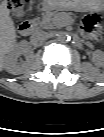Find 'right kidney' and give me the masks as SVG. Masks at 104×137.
Masks as SVG:
<instances>
[{"label": "right kidney", "mask_w": 104, "mask_h": 137, "mask_svg": "<svg viewBox=\"0 0 104 137\" xmlns=\"http://www.w3.org/2000/svg\"><path fill=\"white\" fill-rule=\"evenodd\" d=\"M32 52L30 46L26 41H21L14 46V48L5 56L4 68L11 74L18 75L24 70L23 65H18L17 58L21 54L30 55Z\"/></svg>", "instance_id": "obj_1"}]
</instances>
